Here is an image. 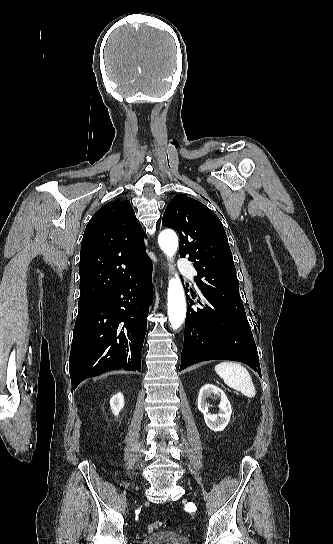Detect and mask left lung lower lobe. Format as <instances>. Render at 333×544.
I'll return each mask as SVG.
<instances>
[{
    "instance_id": "left-lung-lower-lobe-1",
    "label": "left lung lower lobe",
    "mask_w": 333,
    "mask_h": 544,
    "mask_svg": "<svg viewBox=\"0 0 333 544\" xmlns=\"http://www.w3.org/2000/svg\"><path fill=\"white\" fill-rule=\"evenodd\" d=\"M198 302L203 308L187 309L180 371L201 361L227 359L247 364L261 377L257 347L247 318L205 296L203 303Z\"/></svg>"
}]
</instances>
